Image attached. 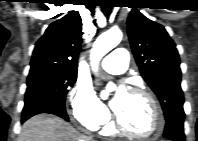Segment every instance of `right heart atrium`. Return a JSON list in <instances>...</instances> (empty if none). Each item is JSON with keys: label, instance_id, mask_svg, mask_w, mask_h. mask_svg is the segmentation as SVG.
<instances>
[{"label": "right heart atrium", "instance_id": "right-heart-atrium-1", "mask_svg": "<svg viewBox=\"0 0 198 141\" xmlns=\"http://www.w3.org/2000/svg\"><path fill=\"white\" fill-rule=\"evenodd\" d=\"M68 104L73 119L88 129H97L109 120L108 109L84 81H78L68 94Z\"/></svg>", "mask_w": 198, "mask_h": 141}]
</instances>
